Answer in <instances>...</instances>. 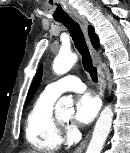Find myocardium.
<instances>
[{
	"label": "myocardium",
	"instance_id": "obj_1",
	"mask_svg": "<svg viewBox=\"0 0 130 153\" xmlns=\"http://www.w3.org/2000/svg\"><path fill=\"white\" fill-rule=\"evenodd\" d=\"M58 124L62 127L66 124V121H63L61 118L56 117Z\"/></svg>",
	"mask_w": 130,
	"mask_h": 153
}]
</instances>
